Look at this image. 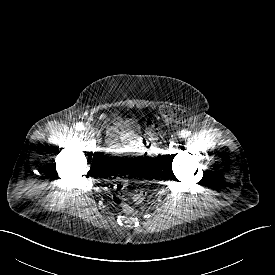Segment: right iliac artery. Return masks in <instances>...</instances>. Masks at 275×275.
I'll use <instances>...</instances> for the list:
<instances>
[{
	"label": "right iliac artery",
	"mask_w": 275,
	"mask_h": 275,
	"mask_svg": "<svg viewBox=\"0 0 275 275\" xmlns=\"http://www.w3.org/2000/svg\"><path fill=\"white\" fill-rule=\"evenodd\" d=\"M75 128H76V130H78V131H82V130H84L85 129V126H84V124L83 123H77L76 125H75Z\"/></svg>",
	"instance_id": "right-iliac-artery-1"
}]
</instances>
